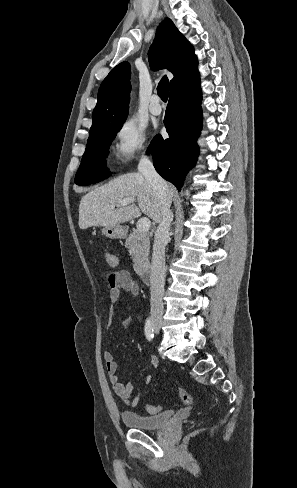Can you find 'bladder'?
Instances as JSON below:
<instances>
[{
    "mask_svg": "<svg viewBox=\"0 0 297 488\" xmlns=\"http://www.w3.org/2000/svg\"><path fill=\"white\" fill-rule=\"evenodd\" d=\"M173 415L174 412L171 410L156 415H141L132 411H124L121 413V419L128 428L154 431L167 425Z\"/></svg>",
    "mask_w": 297,
    "mask_h": 488,
    "instance_id": "obj_1",
    "label": "bladder"
}]
</instances>
